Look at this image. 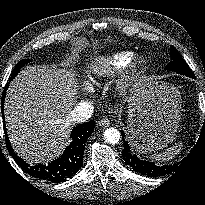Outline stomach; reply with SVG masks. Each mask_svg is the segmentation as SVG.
Here are the masks:
<instances>
[{
	"label": "stomach",
	"instance_id": "1",
	"mask_svg": "<svg viewBox=\"0 0 205 205\" xmlns=\"http://www.w3.org/2000/svg\"><path fill=\"white\" fill-rule=\"evenodd\" d=\"M180 109L181 99L175 87L146 80L138 82L128 113L129 138L140 150L167 147L176 138Z\"/></svg>",
	"mask_w": 205,
	"mask_h": 205
}]
</instances>
